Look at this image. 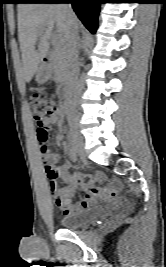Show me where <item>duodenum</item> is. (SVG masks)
Returning a JSON list of instances; mask_svg holds the SVG:
<instances>
[{
    "label": "duodenum",
    "instance_id": "410a0bca",
    "mask_svg": "<svg viewBox=\"0 0 166 267\" xmlns=\"http://www.w3.org/2000/svg\"><path fill=\"white\" fill-rule=\"evenodd\" d=\"M42 71L44 74H50L52 71V60L50 56L46 55L42 60ZM58 96L60 99L65 100L68 97V85L67 83H62L58 89Z\"/></svg>",
    "mask_w": 166,
    "mask_h": 267
}]
</instances>
